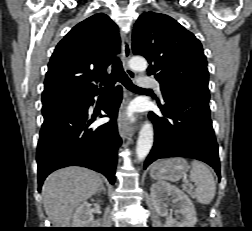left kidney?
Listing matches in <instances>:
<instances>
[{
	"instance_id": "obj_1",
	"label": "left kidney",
	"mask_w": 252,
	"mask_h": 231,
	"mask_svg": "<svg viewBox=\"0 0 252 231\" xmlns=\"http://www.w3.org/2000/svg\"><path fill=\"white\" fill-rule=\"evenodd\" d=\"M151 197L156 212L161 216H166L168 228H193L197 222L196 211L192 201L178 188L167 183H155L151 186ZM168 197L179 207L180 216L174 219L168 215Z\"/></svg>"
}]
</instances>
